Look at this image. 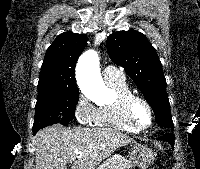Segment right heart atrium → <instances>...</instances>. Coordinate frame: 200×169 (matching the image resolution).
Masks as SVG:
<instances>
[{"mask_svg":"<svg viewBox=\"0 0 200 169\" xmlns=\"http://www.w3.org/2000/svg\"><path fill=\"white\" fill-rule=\"evenodd\" d=\"M97 108L84 95L79 94L74 107V114L77 121L82 125L94 123Z\"/></svg>","mask_w":200,"mask_h":169,"instance_id":"1","label":"right heart atrium"}]
</instances>
